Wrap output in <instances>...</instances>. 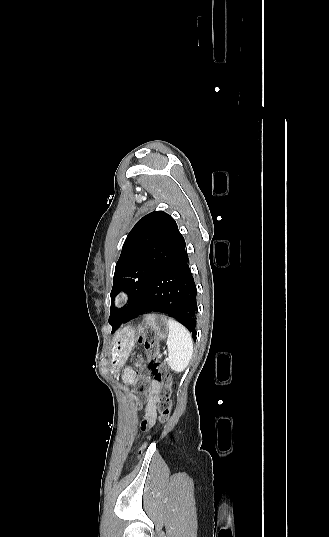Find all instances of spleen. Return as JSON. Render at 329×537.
Instances as JSON below:
<instances>
[{"instance_id": "3e777b00", "label": "spleen", "mask_w": 329, "mask_h": 537, "mask_svg": "<svg viewBox=\"0 0 329 537\" xmlns=\"http://www.w3.org/2000/svg\"><path fill=\"white\" fill-rule=\"evenodd\" d=\"M168 363L172 370L183 371L193 354V340L189 331L179 322L168 320Z\"/></svg>"}]
</instances>
